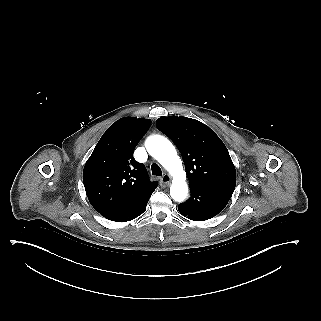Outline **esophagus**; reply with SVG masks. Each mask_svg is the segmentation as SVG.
Listing matches in <instances>:
<instances>
[{
  "label": "esophagus",
  "instance_id": "obj_1",
  "mask_svg": "<svg viewBox=\"0 0 321 321\" xmlns=\"http://www.w3.org/2000/svg\"><path fill=\"white\" fill-rule=\"evenodd\" d=\"M171 183V176L169 174L163 175V177L160 180V185L163 188H166L170 185Z\"/></svg>",
  "mask_w": 321,
  "mask_h": 321
}]
</instances>
